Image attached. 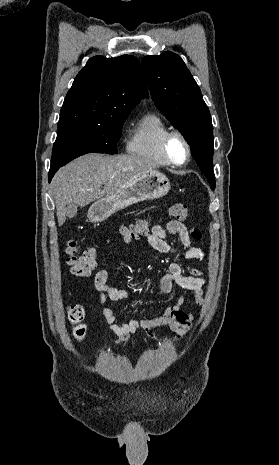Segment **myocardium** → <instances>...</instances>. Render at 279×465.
Listing matches in <instances>:
<instances>
[{
	"instance_id": "1",
	"label": "myocardium",
	"mask_w": 279,
	"mask_h": 465,
	"mask_svg": "<svg viewBox=\"0 0 279 465\" xmlns=\"http://www.w3.org/2000/svg\"><path fill=\"white\" fill-rule=\"evenodd\" d=\"M175 137H178L179 139H181V141L183 142V144L185 145L186 147V158L183 162L181 163H177L175 162L170 154H169V150H168V147H169V143L170 141L175 138ZM161 151H162V154L164 156V158L166 159V161L169 163V165H172V166H175V167H182L184 165H186L190 159H191V155H192V149H191V145L188 141V139L186 138V136L180 132L179 130H169L162 138V141H161Z\"/></svg>"
}]
</instances>
